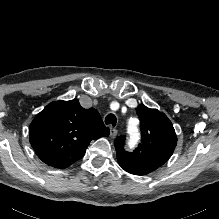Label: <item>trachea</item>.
I'll use <instances>...</instances> for the list:
<instances>
[{
	"mask_svg": "<svg viewBox=\"0 0 219 219\" xmlns=\"http://www.w3.org/2000/svg\"><path fill=\"white\" fill-rule=\"evenodd\" d=\"M117 123V118L114 114L110 113L105 118V124H111L112 126H115Z\"/></svg>",
	"mask_w": 219,
	"mask_h": 219,
	"instance_id": "3493384b",
	"label": "trachea"
}]
</instances>
